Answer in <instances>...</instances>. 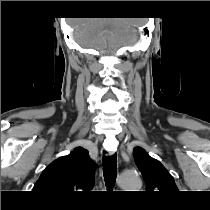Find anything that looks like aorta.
Listing matches in <instances>:
<instances>
[{"label": "aorta", "instance_id": "762f6f07", "mask_svg": "<svg viewBox=\"0 0 210 210\" xmlns=\"http://www.w3.org/2000/svg\"><path fill=\"white\" fill-rule=\"evenodd\" d=\"M120 186L126 191H136L142 186L141 179L135 173H123L119 177Z\"/></svg>", "mask_w": 210, "mask_h": 210}]
</instances>
